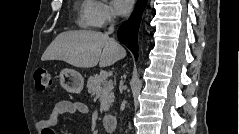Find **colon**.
Returning <instances> with one entry per match:
<instances>
[{
	"label": "colon",
	"mask_w": 239,
	"mask_h": 134,
	"mask_svg": "<svg viewBox=\"0 0 239 134\" xmlns=\"http://www.w3.org/2000/svg\"><path fill=\"white\" fill-rule=\"evenodd\" d=\"M35 86L38 92L45 93L52 85L50 74L45 69H38L34 75Z\"/></svg>",
	"instance_id": "1"
}]
</instances>
